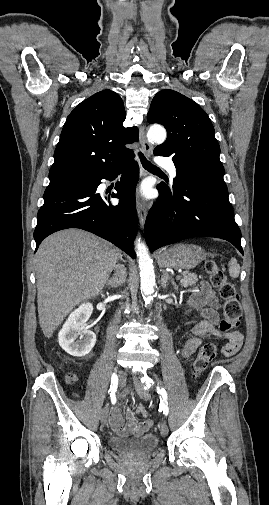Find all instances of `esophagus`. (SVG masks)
Returning a JSON list of instances; mask_svg holds the SVG:
<instances>
[{"mask_svg":"<svg viewBox=\"0 0 269 505\" xmlns=\"http://www.w3.org/2000/svg\"><path fill=\"white\" fill-rule=\"evenodd\" d=\"M139 139H140V143H141L143 152L149 157L152 152V145L148 142V140L146 138L144 127H140ZM136 207H137V213L139 216L140 225H141V228H143L145 221H146V217H147L148 204L140 195H138V197H137Z\"/></svg>","mask_w":269,"mask_h":505,"instance_id":"obj_1","label":"esophagus"}]
</instances>
